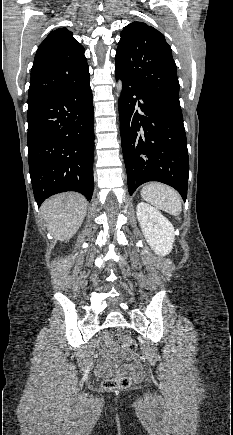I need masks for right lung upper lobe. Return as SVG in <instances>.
Returning a JSON list of instances; mask_svg holds the SVG:
<instances>
[{
  "label": "right lung upper lobe",
  "instance_id": "obj_1",
  "mask_svg": "<svg viewBox=\"0 0 233 435\" xmlns=\"http://www.w3.org/2000/svg\"><path fill=\"white\" fill-rule=\"evenodd\" d=\"M89 72L84 48L66 28L51 31L39 46L28 94V106L38 103Z\"/></svg>",
  "mask_w": 233,
  "mask_h": 435
}]
</instances>
